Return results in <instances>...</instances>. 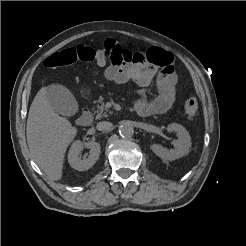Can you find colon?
Listing matches in <instances>:
<instances>
[{
	"label": "colon",
	"mask_w": 246,
	"mask_h": 246,
	"mask_svg": "<svg viewBox=\"0 0 246 246\" xmlns=\"http://www.w3.org/2000/svg\"><path fill=\"white\" fill-rule=\"evenodd\" d=\"M110 55L107 50L94 49L91 47L78 45L69 49L62 50L45 60V66L49 68L71 66L78 62H94L104 65ZM198 111V101L195 96L189 94L184 102V113L188 119H193Z\"/></svg>",
	"instance_id": "obj_1"
}]
</instances>
